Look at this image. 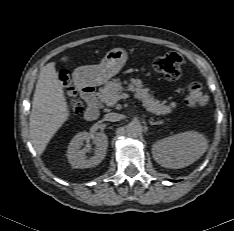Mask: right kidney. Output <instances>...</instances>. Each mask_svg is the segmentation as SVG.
Masks as SVG:
<instances>
[{"mask_svg": "<svg viewBox=\"0 0 234 231\" xmlns=\"http://www.w3.org/2000/svg\"><path fill=\"white\" fill-rule=\"evenodd\" d=\"M93 140L96 144V150L94 155L88 158L86 153L90 150L89 142ZM86 142V146L81 147ZM108 147V138L105 133H78L70 142L67 150V158L69 163L74 168H90L98 165L106 156V150Z\"/></svg>", "mask_w": 234, "mask_h": 231, "instance_id": "obj_1", "label": "right kidney"}]
</instances>
